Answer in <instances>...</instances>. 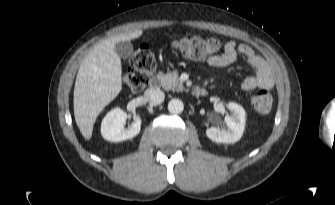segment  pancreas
Returning <instances> with one entry per match:
<instances>
[{
    "mask_svg": "<svg viewBox=\"0 0 335 205\" xmlns=\"http://www.w3.org/2000/svg\"><path fill=\"white\" fill-rule=\"evenodd\" d=\"M159 78L161 80L162 87L165 90L180 91L183 89L182 82L177 72L167 74L160 73Z\"/></svg>",
    "mask_w": 335,
    "mask_h": 205,
    "instance_id": "1",
    "label": "pancreas"
}]
</instances>
